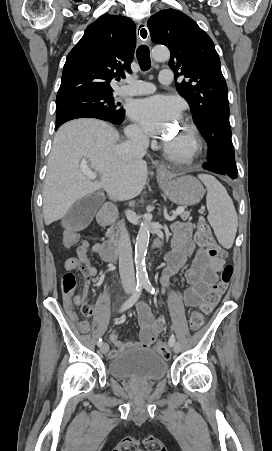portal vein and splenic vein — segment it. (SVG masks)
I'll use <instances>...</instances> for the list:
<instances>
[{
    "label": "portal vein and splenic vein",
    "mask_w": 272,
    "mask_h": 451,
    "mask_svg": "<svg viewBox=\"0 0 272 451\" xmlns=\"http://www.w3.org/2000/svg\"><path fill=\"white\" fill-rule=\"evenodd\" d=\"M83 174L86 178H88V180H96L98 176V174H96V172H92V170H83ZM182 212H184V208H177L175 216H173V218H168V220H175L176 216H178V214H182Z\"/></svg>",
    "instance_id": "obj_1"
}]
</instances>
